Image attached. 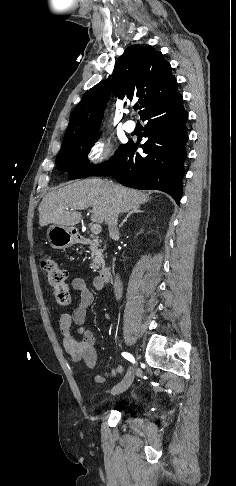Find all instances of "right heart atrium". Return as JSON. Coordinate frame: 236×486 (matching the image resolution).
I'll use <instances>...</instances> for the list:
<instances>
[{"label":"right heart atrium","mask_w":236,"mask_h":486,"mask_svg":"<svg viewBox=\"0 0 236 486\" xmlns=\"http://www.w3.org/2000/svg\"><path fill=\"white\" fill-rule=\"evenodd\" d=\"M112 154V143L100 136L91 144L87 157L91 163L97 164L107 160Z\"/></svg>","instance_id":"right-heart-atrium-1"}]
</instances>
